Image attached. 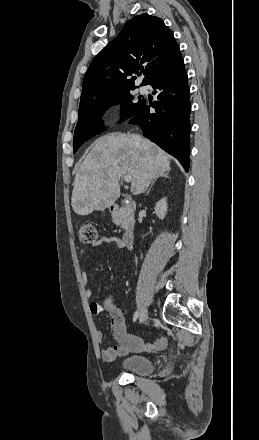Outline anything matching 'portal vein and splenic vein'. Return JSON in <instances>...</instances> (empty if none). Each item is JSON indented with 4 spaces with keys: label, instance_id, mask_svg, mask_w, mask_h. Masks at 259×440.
<instances>
[{
    "label": "portal vein and splenic vein",
    "instance_id": "portal-vein-and-splenic-vein-1",
    "mask_svg": "<svg viewBox=\"0 0 259 440\" xmlns=\"http://www.w3.org/2000/svg\"><path fill=\"white\" fill-rule=\"evenodd\" d=\"M124 180H125V182H130L132 180L131 175H125Z\"/></svg>",
    "mask_w": 259,
    "mask_h": 440
}]
</instances>
